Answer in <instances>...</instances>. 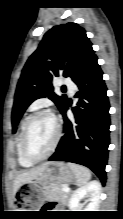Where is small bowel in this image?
<instances>
[{
    "label": "small bowel",
    "mask_w": 123,
    "mask_h": 219,
    "mask_svg": "<svg viewBox=\"0 0 123 219\" xmlns=\"http://www.w3.org/2000/svg\"><path fill=\"white\" fill-rule=\"evenodd\" d=\"M50 208H51V209H54V208H55V206H54V205H51V206H50Z\"/></svg>",
    "instance_id": "1"
}]
</instances>
